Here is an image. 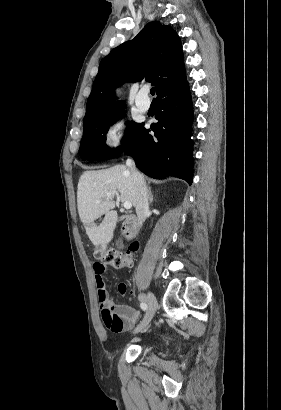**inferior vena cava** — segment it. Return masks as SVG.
I'll return each mask as SVG.
<instances>
[{
	"mask_svg": "<svg viewBox=\"0 0 281 410\" xmlns=\"http://www.w3.org/2000/svg\"><path fill=\"white\" fill-rule=\"evenodd\" d=\"M126 165L132 174L135 187H136V206L135 207H136L137 220L135 224V232L138 233L149 211V203H148L149 195H148V190H147L144 178L137 171L134 160L132 158H128L126 160Z\"/></svg>",
	"mask_w": 281,
	"mask_h": 410,
	"instance_id": "1",
	"label": "inferior vena cava"
}]
</instances>
